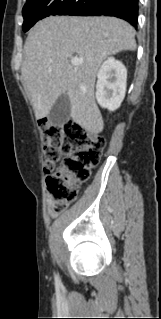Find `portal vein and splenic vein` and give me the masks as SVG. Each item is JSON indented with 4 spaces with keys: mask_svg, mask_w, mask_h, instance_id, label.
<instances>
[{
    "mask_svg": "<svg viewBox=\"0 0 161 319\" xmlns=\"http://www.w3.org/2000/svg\"><path fill=\"white\" fill-rule=\"evenodd\" d=\"M82 62H83V59H80V58H78V57H73V58L71 59V64H72L73 66H77V65L81 64Z\"/></svg>",
    "mask_w": 161,
    "mask_h": 319,
    "instance_id": "portal-vein-and-splenic-vein-1",
    "label": "portal vein and splenic vein"
}]
</instances>
